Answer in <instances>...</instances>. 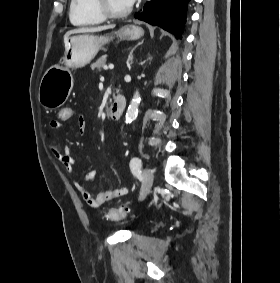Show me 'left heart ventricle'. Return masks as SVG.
Listing matches in <instances>:
<instances>
[{"mask_svg": "<svg viewBox=\"0 0 280 283\" xmlns=\"http://www.w3.org/2000/svg\"><path fill=\"white\" fill-rule=\"evenodd\" d=\"M107 5L114 12H122L130 6L127 0H107Z\"/></svg>", "mask_w": 280, "mask_h": 283, "instance_id": "b2bd125f", "label": "left heart ventricle"}]
</instances>
